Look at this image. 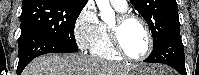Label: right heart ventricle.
Instances as JSON below:
<instances>
[{
  "label": "right heart ventricle",
  "instance_id": "1",
  "mask_svg": "<svg viewBox=\"0 0 199 75\" xmlns=\"http://www.w3.org/2000/svg\"><path fill=\"white\" fill-rule=\"evenodd\" d=\"M120 13H124L126 10H120L117 9ZM106 23L101 22V33L100 37L97 40V42L94 44V46L91 48V53L93 56L110 60V61H119L121 60V56L116 52L114 49Z\"/></svg>",
  "mask_w": 199,
  "mask_h": 75
}]
</instances>
